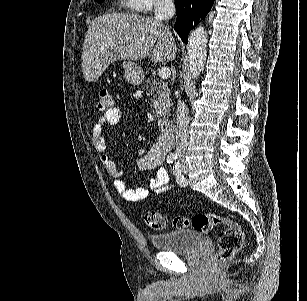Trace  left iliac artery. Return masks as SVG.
<instances>
[{"label": "left iliac artery", "mask_w": 307, "mask_h": 301, "mask_svg": "<svg viewBox=\"0 0 307 301\" xmlns=\"http://www.w3.org/2000/svg\"><path fill=\"white\" fill-rule=\"evenodd\" d=\"M173 174L175 175L178 184L184 185L186 183V179L181 173V163L179 161L175 162L173 166Z\"/></svg>", "instance_id": "left-iliac-artery-1"}]
</instances>
